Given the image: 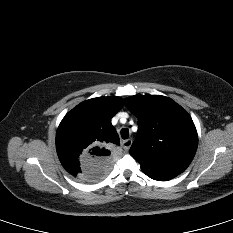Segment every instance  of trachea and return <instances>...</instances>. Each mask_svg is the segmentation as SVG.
Listing matches in <instances>:
<instances>
[{"label":"trachea","mask_w":233,"mask_h":233,"mask_svg":"<svg viewBox=\"0 0 233 233\" xmlns=\"http://www.w3.org/2000/svg\"><path fill=\"white\" fill-rule=\"evenodd\" d=\"M121 137L122 139H127L129 137V130L127 128L121 129Z\"/></svg>","instance_id":"obj_1"}]
</instances>
